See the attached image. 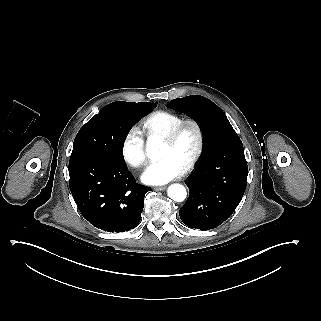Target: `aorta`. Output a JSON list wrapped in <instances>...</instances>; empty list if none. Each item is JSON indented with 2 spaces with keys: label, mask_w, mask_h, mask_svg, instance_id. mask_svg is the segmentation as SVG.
I'll return each mask as SVG.
<instances>
[{
  "label": "aorta",
  "mask_w": 321,
  "mask_h": 321,
  "mask_svg": "<svg viewBox=\"0 0 321 321\" xmlns=\"http://www.w3.org/2000/svg\"><path fill=\"white\" fill-rule=\"evenodd\" d=\"M160 143L157 140L150 139L147 143V155L151 158H157L159 152ZM187 195L186 189L181 184H173L168 189V196L177 202L185 200Z\"/></svg>",
  "instance_id": "obj_1"
}]
</instances>
